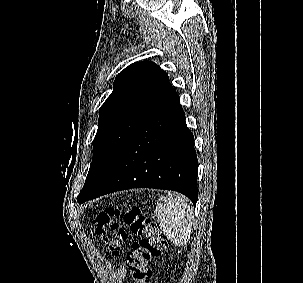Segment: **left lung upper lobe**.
Wrapping results in <instances>:
<instances>
[{
	"instance_id": "left-lung-upper-lobe-1",
	"label": "left lung upper lobe",
	"mask_w": 303,
	"mask_h": 283,
	"mask_svg": "<svg viewBox=\"0 0 303 283\" xmlns=\"http://www.w3.org/2000/svg\"><path fill=\"white\" fill-rule=\"evenodd\" d=\"M167 78L149 61L132 63L118 74L113 92L99 111L94 156L80 194L97 190L108 178Z\"/></svg>"
}]
</instances>
